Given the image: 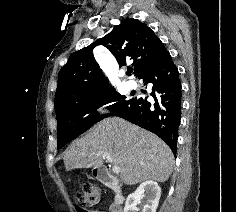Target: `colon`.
I'll return each instance as SVG.
<instances>
[{
  "mask_svg": "<svg viewBox=\"0 0 236 212\" xmlns=\"http://www.w3.org/2000/svg\"><path fill=\"white\" fill-rule=\"evenodd\" d=\"M74 199L81 208L80 212H90L89 209L97 207L101 203L100 190L92 182H82L74 192Z\"/></svg>",
  "mask_w": 236,
  "mask_h": 212,
  "instance_id": "obj_1",
  "label": "colon"
}]
</instances>
